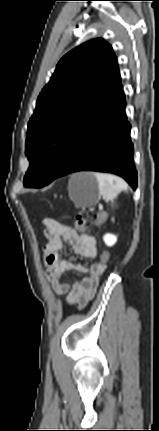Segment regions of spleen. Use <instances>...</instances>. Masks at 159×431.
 I'll use <instances>...</instances> for the list:
<instances>
[{"label": "spleen", "instance_id": "obj_1", "mask_svg": "<svg viewBox=\"0 0 159 431\" xmlns=\"http://www.w3.org/2000/svg\"><path fill=\"white\" fill-rule=\"evenodd\" d=\"M93 174L98 181L99 192L107 202L113 203L120 192L128 191L126 182L120 177L104 173Z\"/></svg>", "mask_w": 159, "mask_h": 431}]
</instances>
